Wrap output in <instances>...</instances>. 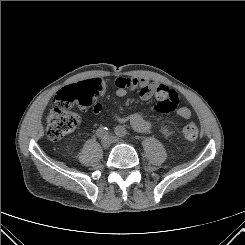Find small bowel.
I'll return each mask as SVG.
<instances>
[{
	"label": "small bowel",
	"instance_id": "1",
	"mask_svg": "<svg viewBox=\"0 0 245 245\" xmlns=\"http://www.w3.org/2000/svg\"><path fill=\"white\" fill-rule=\"evenodd\" d=\"M98 85V95L101 96L105 91V84L102 79H91ZM116 95L125 96L128 91H136L142 100H149L155 97L158 103L151 109L157 113H173L175 116L189 119L192 115L187 107H179V99L175 90L156 81H151L141 77H119L115 80ZM96 97V99H97ZM91 109L95 114L102 111V104L95 100L91 105L83 108ZM113 118L121 123H129L138 132H148L151 129V122L142 113H132L126 116L117 112H111Z\"/></svg>",
	"mask_w": 245,
	"mask_h": 245
}]
</instances>
